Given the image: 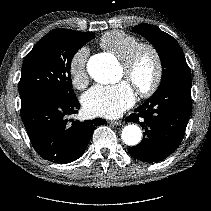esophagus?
I'll return each mask as SVG.
<instances>
[{
  "label": "esophagus",
  "mask_w": 211,
  "mask_h": 211,
  "mask_svg": "<svg viewBox=\"0 0 211 211\" xmlns=\"http://www.w3.org/2000/svg\"><path fill=\"white\" fill-rule=\"evenodd\" d=\"M110 123L113 124V125H116V126L122 125L121 120H113V121H110Z\"/></svg>",
  "instance_id": "obj_1"
}]
</instances>
